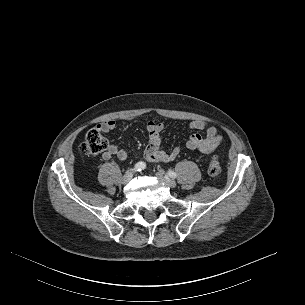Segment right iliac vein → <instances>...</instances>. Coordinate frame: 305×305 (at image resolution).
<instances>
[{"instance_id":"63e3f726","label":"right iliac vein","mask_w":305,"mask_h":305,"mask_svg":"<svg viewBox=\"0 0 305 305\" xmlns=\"http://www.w3.org/2000/svg\"><path fill=\"white\" fill-rule=\"evenodd\" d=\"M133 177V173L131 171L127 172L121 179L122 184H128Z\"/></svg>"}]
</instances>
